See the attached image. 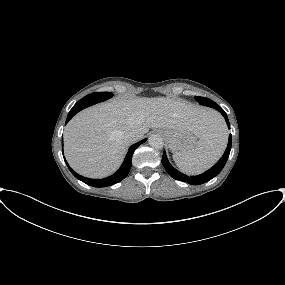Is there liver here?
<instances>
[{
	"instance_id": "6515ba94",
	"label": "liver",
	"mask_w": 285,
	"mask_h": 285,
	"mask_svg": "<svg viewBox=\"0 0 285 285\" xmlns=\"http://www.w3.org/2000/svg\"><path fill=\"white\" fill-rule=\"evenodd\" d=\"M223 121L213 110L186 101L160 98L114 99L75 115L64 130V153L70 166L90 178H103L121 165L127 143L123 136L150 128L190 131L208 137Z\"/></svg>"
}]
</instances>
